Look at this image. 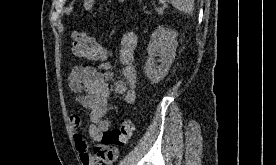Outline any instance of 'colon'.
Instances as JSON below:
<instances>
[{
  "instance_id": "1",
  "label": "colon",
  "mask_w": 276,
  "mask_h": 165,
  "mask_svg": "<svg viewBox=\"0 0 276 165\" xmlns=\"http://www.w3.org/2000/svg\"><path fill=\"white\" fill-rule=\"evenodd\" d=\"M72 51L76 56L88 60H99L107 56V50L100 43L80 31L72 33ZM134 130L133 121L125 119L117 128L102 135L101 144L110 150L121 147L131 140Z\"/></svg>"
}]
</instances>
